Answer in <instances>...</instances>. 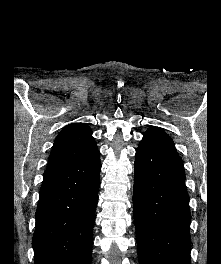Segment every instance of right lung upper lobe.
<instances>
[{"instance_id":"1","label":"right lung upper lobe","mask_w":221,"mask_h":264,"mask_svg":"<svg viewBox=\"0 0 221 264\" xmlns=\"http://www.w3.org/2000/svg\"><path fill=\"white\" fill-rule=\"evenodd\" d=\"M96 152L90 127L84 123L69 124L56 137L47 167L83 160Z\"/></svg>"}]
</instances>
